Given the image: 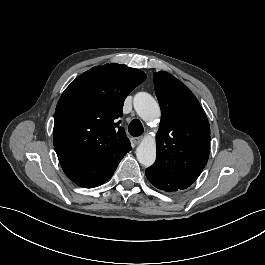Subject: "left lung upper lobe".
<instances>
[{"instance_id": "left-lung-upper-lobe-1", "label": "left lung upper lobe", "mask_w": 265, "mask_h": 265, "mask_svg": "<svg viewBox=\"0 0 265 265\" xmlns=\"http://www.w3.org/2000/svg\"><path fill=\"white\" fill-rule=\"evenodd\" d=\"M161 108L156 162L147 170L180 190L193 184L210 153V126L195 95L167 72L153 74Z\"/></svg>"}]
</instances>
